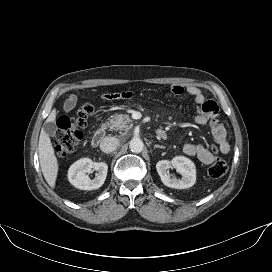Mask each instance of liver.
I'll use <instances>...</instances> for the list:
<instances>
[{
	"label": "liver",
	"instance_id": "liver-1",
	"mask_svg": "<svg viewBox=\"0 0 272 272\" xmlns=\"http://www.w3.org/2000/svg\"><path fill=\"white\" fill-rule=\"evenodd\" d=\"M55 119L56 109H53L47 118V122H53ZM38 153L44 178L51 188H55L59 166L51 140L43 128L40 132Z\"/></svg>",
	"mask_w": 272,
	"mask_h": 272
}]
</instances>
